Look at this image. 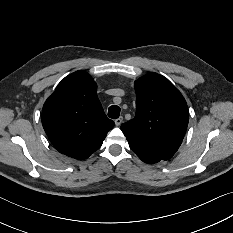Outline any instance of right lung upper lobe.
I'll use <instances>...</instances> for the list:
<instances>
[{
	"label": "right lung upper lobe",
	"instance_id": "obj_1",
	"mask_svg": "<svg viewBox=\"0 0 233 233\" xmlns=\"http://www.w3.org/2000/svg\"><path fill=\"white\" fill-rule=\"evenodd\" d=\"M42 125L62 154L83 160L98 150L115 125L97 97V85L85 71L65 77L47 99Z\"/></svg>",
	"mask_w": 233,
	"mask_h": 233
}]
</instances>
